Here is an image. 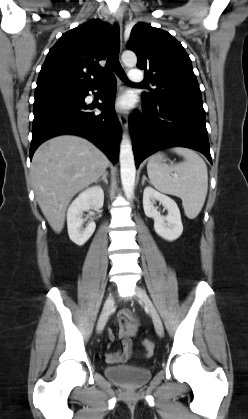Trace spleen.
I'll list each match as a JSON object with an SVG mask.
<instances>
[{"label": "spleen", "mask_w": 248, "mask_h": 419, "mask_svg": "<svg viewBox=\"0 0 248 419\" xmlns=\"http://www.w3.org/2000/svg\"><path fill=\"white\" fill-rule=\"evenodd\" d=\"M171 151L183 156L184 161L167 166L150 158L147 164L150 183L163 193L181 198L186 216L194 219L200 213L208 191L206 163L194 150L175 147Z\"/></svg>", "instance_id": "1"}]
</instances>
